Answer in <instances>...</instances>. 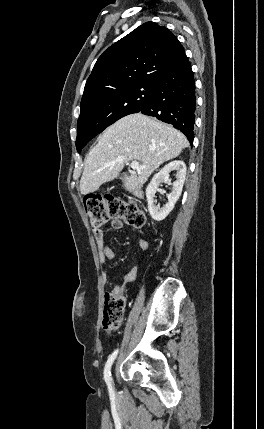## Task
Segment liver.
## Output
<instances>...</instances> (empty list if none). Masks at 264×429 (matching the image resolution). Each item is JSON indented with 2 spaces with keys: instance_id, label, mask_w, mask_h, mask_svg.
<instances>
[{
  "instance_id": "liver-1",
  "label": "liver",
  "mask_w": 264,
  "mask_h": 429,
  "mask_svg": "<svg viewBox=\"0 0 264 429\" xmlns=\"http://www.w3.org/2000/svg\"><path fill=\"white\" fill-rule=\"evenodd\" d=\"M189 146L184 134L141 113L127 115L109 126L89 152L80 180L81 194L95 192L119 176L130 161L145 169L125 176V188L141 187L162 163L179 156Z\"/></svg>"
}]
</instances>
